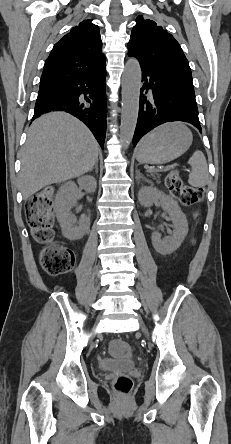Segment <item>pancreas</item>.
<instances>
[{
	"label": "pancreas",
	"instance_id": "cf45deb5",
	"mask_svg": "<svg viewBox=\"0 0 231 444\" xmlns=\"http://www.w3.org/2000/svg\"><path fill=\"white\" fill-rule=\"evenodd\" d=\"M151 176L153 179L157 180V178H159V174H157V171H153L151 172Z\"/></svg>",
	"mask_w": 231,
	"mask_h": 444
}]
</instances>
